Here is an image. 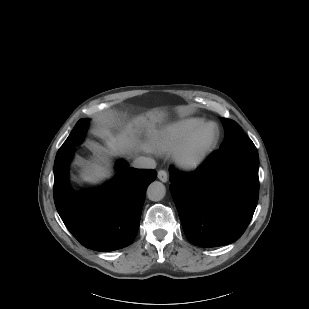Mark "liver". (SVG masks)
Masks as SVG:
<instances>
[{
	"instance_id": "obj_1",
	"label": "liver",
	"mask_w": 309,
	"mask_h": 309,
	"mask_svg": "<svg viewBox=\"0 0 309 309\" xmlns=\"http://www.w3.org/2000/svg\"><path fill=\"white\" fill-rule=\"evenodd\" d=\"M164 117L162 111H151L146 116L140 115L133 118L128 122L118 133L109 134L106 139L107 148H100L102 151L108 154L123 153L125 151H131L136 146L135 133L141 126H146L149 129H153L157 122H160ZM101 162L89 163L82 177L85 181L96 182L109 174L107 160L104 157H100Z\"/></svg>"
}]
</instances>
